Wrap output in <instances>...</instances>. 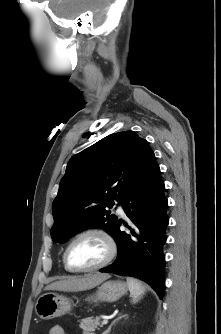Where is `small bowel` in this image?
<instances>
[{"instance_id":"1","label":"small bowel","mask_w":221,"mask_h":334,"mask_svg":"<svg viewBox=\"0 0 221 334\" xmlns=\"http://www.w3.org/2000/svg\"><path fill=\"white\" fill-rule=\"evenodd\" d=\"M48 334H67V333L60 325H54L50 328ZM83 334H93V333L85 332Z\"/></svg>"}]
</instances>
